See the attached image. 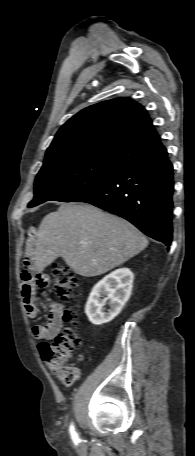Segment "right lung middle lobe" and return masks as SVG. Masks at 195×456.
<instances>
[{
	"instance_id": "obj_1",
	"label": "right lung middle lobe",
	"mask_w": 195,
	"mask_h": 456,
	"mask_svg": "<svg viewBox=\"0 0 195 456\" xmlns=\"http://www.w3.org/2000/svg\"><path fill=\"white\" fill-rule=\"evenodd\" d=\"M122 165L96 159H67L44 163L35 180L29 207L45 201L72 202L112 178Z\"/></svg>"
}]
</instances>
